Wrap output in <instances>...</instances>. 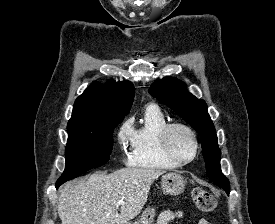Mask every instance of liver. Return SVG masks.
<instances>
[{"label": "liver", "mask_w": 275, "mask_h": 224, "mask_svg": "<svg viewBox=\"0 0 275 224\" xmlns=\"http://www.w3.org/2000/svg\"><path fill=\"white\" fill-rule=\"evenodd\" d=\"M162 174L158 169L124 168L67 183L58 201L61 224H126L141 212L152 183ZM120 200L124 203L118 213Z\"/></svg>", "instance_id": "obj_1"}]
</instances>
